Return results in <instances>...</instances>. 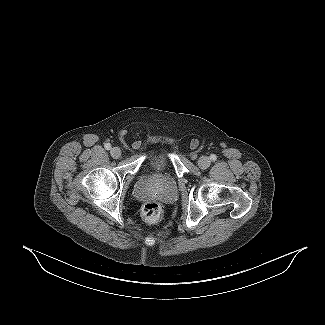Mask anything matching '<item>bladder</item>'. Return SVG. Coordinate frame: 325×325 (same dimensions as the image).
<instances>
[{"instance_id":"1","label":"bladder","mask_w":325,"mask_h":325,"mask_svg":"<svg viewBox=\"0 0 325 325\" xmlns=\"http://www.w3.org/2000/svg\"><path fill=\"white\" fill-rule=\"evenodd\" d=\"M150 161L156 165H164L169 161L168 155L164 151H157L150 156Z\"/></svg>"}]
</instances>
